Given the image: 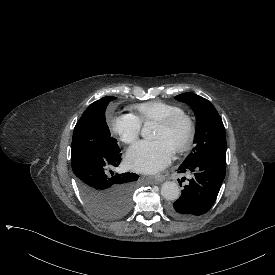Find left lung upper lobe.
Wrapping results in <instances>:
<instances>
[{
  "label": "left lung upper lobe",
  "instance_id": "left-lung-upper-lobe-1",
  "mask_svg": "<svg viewBox=\"0 0 275 275\" xmlns=\"http://www.w3.org/2000/svg\"><path fill=\"white\" fill-rule=\"evenodd\" d=\"M178 101L190 105L196 115V136L194 153H191L183 165L209 158L226 159V136L221 117L207 99L187 92L175 97Z\"/></svg>",
  "mask_w": 275,
  "mask_h": 275
}]
</instances>
